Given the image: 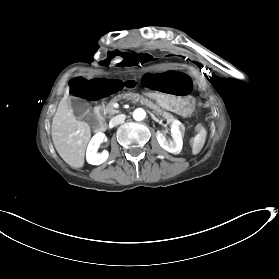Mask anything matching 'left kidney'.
<instances>
[{
  "label": "left kidney",
  "mask_w": 279,
  "mask_h": 279,
  "mask_svg": "<svg viewBox=\"0 0 279 279\" xmlns=\"http://www.w3.org/2000/svg\"><path fill=\"white\" fill-rule=\"evenodd\" d=\"M184 130V125L179 120L173 119L171 121V137L173 140L168 141L162 132L157 131V141L159 145L166 151L173 154H179L183 147L182 138Z\"/></svg>",
  "instance_id": "obj_1"
}]
</instances>
